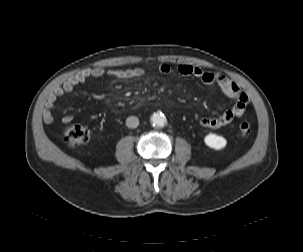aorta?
Listing matches in <instances>:
<instances>
[{"mask_svg": "<svg viewBox=\"0 0 303 252\" xmlns=\"http://www.w3.org/2000/svg\"><path fill=\"white\" fill-rule=\"evenodd\" d=\"M150 121L155 127H163L167 123V119L162 113H154L151 116Z\"/></svg>", "mask_w": 303, "mask_h": 252, "instance_id": "aorta-1", "label": "aorta"}]
</instances>
